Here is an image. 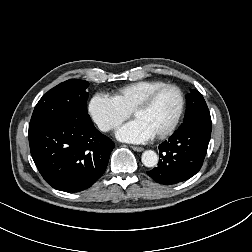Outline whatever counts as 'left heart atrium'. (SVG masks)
<instances>
[{
	"mask_svg": "<svg viewBox=\"0 0 252 252\" xmlns=\"http://www.w3.org/2000/svg\"><path fill=\"white\" fill-rule=\"evenodd\" d=\"M116 136L118 139L129 143H143L152 139L155 134L141 120L134 119L120 127Z\"/></svg>",
	"mask_w": 252,
	"mask_h": 252,
	"instance_id": "left-heart-atrium-1",
	"label": "left heart atrium"
}]
</instances>
